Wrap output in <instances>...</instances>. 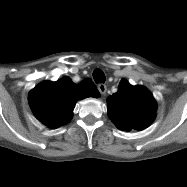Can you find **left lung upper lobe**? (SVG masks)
Wrapping results in <instances>:
<instances>
[{
    "instance_id": "obj_1",
    "label": "left lung upper lobe",
    "mask_w": 187,
    "mask_h": 187,
    "mask_svg": "<svg viewBox=\"0 0 187 187\" xmlns=\"http://www.w3.org/2000/svg\"><path fill=\"white\" fill-rule=\"evenodd\" d=\"M108 117L120 130L144 129L155 118L156 101L143 86H132L125 79L116 93L107 98Z\"/></svg>"
}]
</instances>
